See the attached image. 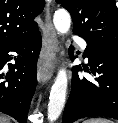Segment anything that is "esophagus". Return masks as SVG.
I'll use <instances>...</instances> for the list:
<instances>
[{"label": "esophagus", "mask_w": 118, "mask_h": 123, "mask_svg": "<svg viewBox=\"0 0 118 123\" xmlns=\"http://www.w3.org/2000/svg\"><path fill=\"white\" fill-rule=\"evenodd\" d=\"M45 36L46 41L42 50L40 64L37 71L38 81L41 84L47 83L53 76L57 53L59 52L56 32L51 22V16L48 9L45 14Z\"/></svg>", "instance_id": "esophagus-1"}]
</instances>
